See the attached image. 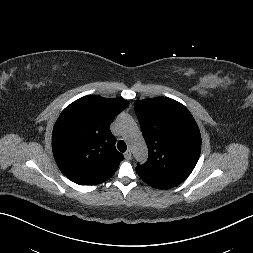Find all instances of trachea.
<instances>
[{
	"label": "trachea",
	"instance_id": "1",
	"mask_svg": "<svg viewBox=\"0 0 253 253\" xmlns=\"http://www.w3.org/2000/svg\"><path fill=\"white\" fill-rule=\"evenodd\" d=\"M117 148L119 151L121 152H125L127 150V145L124 141L120 140L118 143H117Z\"/></svg>",
	"mask_w": 253,
	"mask_h": 253
}]
</instances>
